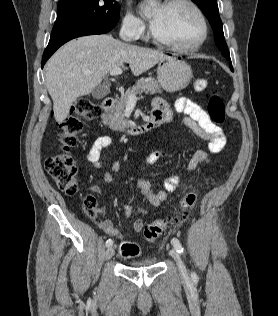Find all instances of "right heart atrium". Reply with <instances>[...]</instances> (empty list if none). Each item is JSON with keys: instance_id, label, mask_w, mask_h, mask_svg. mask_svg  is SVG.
<instances>
[{"instance_id": "obj_1", "label": "right heart atrium", "mask_w": 278, "mask_h": 316, "mask_svg": "<svg viewBox=\"0 0 278 316\" xmlns=\"http://www.w3.org/2000/svg\"><path fill=\"white\" fill-rule=\"evenodd\" d=\"M121 29L131 39H139L146 31L145 23L131 12H127L122 19Z\"/></svg>"}]
</instances>
